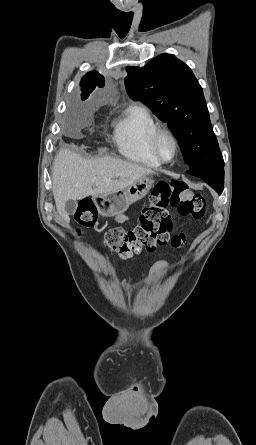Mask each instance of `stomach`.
<instances>
[{"label": "stomach", "instance_id": "0dacf381", "mask_svg": "<svg viewBox=\"0 0 256 445\" xmlns=\"http://www.w3.org/2000/svg\"><path fill=\"white\" fill-rule=\"evenodd\" d=\"M153 185V177L146 176L121 191L96 195L94 201L102 216H118L123 214L132 203L142 199Z\"/></svg>", "mask_w": 256, "mask_h": 445}]
</instances>
